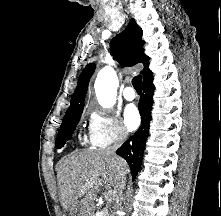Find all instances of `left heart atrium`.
<instances>
[{"mask_svg": "<svg viewBox=\"0 0 221 216\" xmlns=\"http://www.w3.org/2000/svg\"><path fill=\"white\" fill-rule=\"evenodd\" d=\"M124 122L128 129L135 130L140 124V115L135 105H128L124 110Z\"/></svg>", "mask_w": 221, "mask_h": 216, "instance_id": "1", "label": "left heart atrium"}]
</instances>
